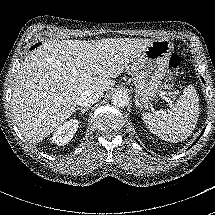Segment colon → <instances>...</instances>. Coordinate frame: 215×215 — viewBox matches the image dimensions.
<instances>
[{"instance_id":"5ec220e1","label":"colon","mask_w":215,"mask_h":215,"mask_svg":"<svg viewBox=\"0 0 215 215\" xmlns=\"http://www.w3.org/2000/svg\"><path fill=\"white\" fill-rule=\"evenodd\" d=\"M180 65V57L177 53H173L169 58L168 66L170 69H176ZM173 87V80L168 78L164 81L163 91L169 92Z\"/></svg>"}]
</instances>
